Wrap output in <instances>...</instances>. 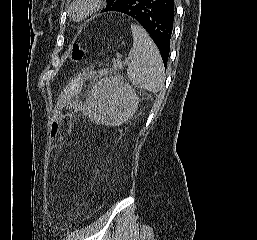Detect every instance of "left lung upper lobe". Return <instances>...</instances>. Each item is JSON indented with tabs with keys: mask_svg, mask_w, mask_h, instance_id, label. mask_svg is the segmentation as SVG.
<instances>
[{
	"mask_svg": "<svg viewBox=\"0 0 257 240\" xmlns=\"http://www.w3.org/2000/svg\"><path fill=\"white\" fill-rule=\"evenodd\" d=\"M124 0H107V5L103 11L111 10L119 6Z\"/></svg>",
	"mask_w": 257,
	"mask_h": 240,
	"instance_id": "obj_1",
	"label": "left lung upper lobe"
}]
</instances>
